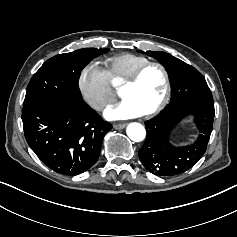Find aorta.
Returning a JSON list of instances; mask_svg holds the SVG:
<instances>
[{"mask_svg": "<svg viewBox=\"0 0 237 237\" xmlns=\"http://www.w3.org/2000/svg\"><path fill=\"white\" fill-rule=\"evenodd\" d=\"M127 136L133 142H142L146 138V130L140 123H131L127 128Z\"/></svg>", "mask_w": 237, "mask_h": 237, "instance_id": "aorta-1", "label": "aorta"}]
</instances>
